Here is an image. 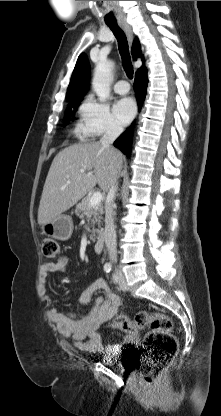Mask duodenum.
I'll list each match as a JSON object with an SVG mask.
<instances>
[{"instance_id": "duodenum-1", "label": "duodenum", "mask_w": 221, "mask_h": 416, "mask_svg": "<svg viewBox=\"0 0 221 416\" xmlns=\"http://www.w3.org/2000/svg\"><path fill=\"white\" fill-rule=\"evenodd\" d=\"M105 245V237L104 234L101 233L94 242V251L95 253L99 254L103 251Z\"/></svg>"}]
</instances>
